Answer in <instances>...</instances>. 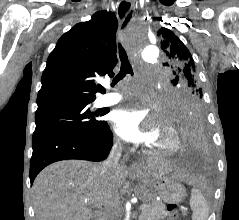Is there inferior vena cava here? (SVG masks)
Wrapping results in <instances>:
<instances>
[{"instance_id": "obj_1", "label": "inferior vena cava", "mask_w": 239, "mask_h": 220, "mask_svg": "<svg viewBox=\"0 0 239 220\" xmlns=\"http://www.w3.org/2000/svg\"><path fill=\"white\" fill-rule=\"evenodd\" d=\"M123 146L120 142L116 141L110 151L108 158L102 163V171L111 176L119 167V161L121 157Z\"/></svg>"}]
</instances>
